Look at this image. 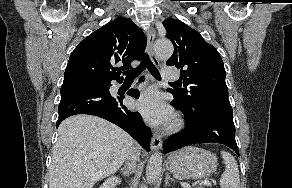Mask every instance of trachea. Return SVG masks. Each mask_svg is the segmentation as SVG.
Segmentation results:
<instances>
[{
    "mask_svg": "<svg viewBox=\"0 0 292 188\" xmlns=\"http://www.w3.org/2000/svg\"><path fill=\"white\" fill-rule=\"evenodd\" d=\"M146 67L154 78H156L158 80L161 79V76H160L158 69L150 61V59L147 55H145L143 62L137 68L131 69V70L124 73L126 76L125 79L126 80L135 79L136 77H138L141 74L142 71H144L146 69Z\"/></svg>",
    "mask_w": 292,
    "mask_h": 188,
    "instance_id": "3493384b",
    "label": "trachea"
}]
</instances>
